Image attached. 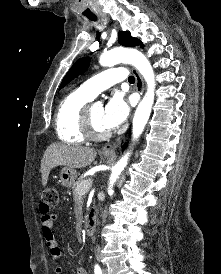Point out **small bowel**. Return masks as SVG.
Returning a JSON list of instances; mask_svg holds the SVG:
<instances>
[{
  "label": "small bowel",
  "instance_id": "1",
  "mask_svg": "<svg viewBox=\"0 0 221 274\" xmlns=\"http://www.w3.org/2000/svg\"><path fill=\"white\" fill-rule=\"evenodd\" d=\"M39 213H40V226L42 235L45 240V245L50 252V255L53 260L59 261L61 259L62 253L53 233V225L57 220V215L51 211V207L46 205L44 202L39 204ZM55 274H63L62 267L58 266L55 268ZM76 274H88L87 271L78 267Z\"/></svg>",
  "mask_w": 221,
  "mask_h": 274
}]
</instances>
